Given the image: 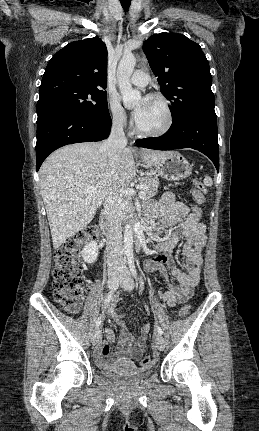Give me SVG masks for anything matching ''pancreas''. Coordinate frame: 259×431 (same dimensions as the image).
I'll return each instance as SVG.
<instances>
[{"instance_id": "1", "label": "pancreas", "mask_w": 259, "mask_h": 431, "mask_svg": "<svg viewBox=\"0 0 259 431\" xmlns=\"http://www.w3.org/2000/svg\"><path fill=\"white\" fill-rule=\"evenodd\" d=\"M140 186L142 187V191L146 193V198H151L158 191L159 180L156 177H145L140 180ZM123 203L126 205V208L123 210L122 217L125 218L132 214L134 209L129 198L123 199Z\"/></svg>"}]
</instances>
